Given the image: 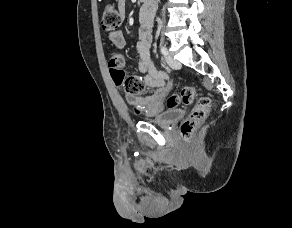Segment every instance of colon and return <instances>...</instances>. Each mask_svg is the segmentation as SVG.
<instances>
[{"label": "colon", "instance_id": "5ec220e1", "mask_svg": "<svg viewBox=\"0 0 292 228\" xmlns=\"http://www.w3.org/2000/svg\"><path fill=\"white\" fill-rule=\"evenodd\" d=\"M121 15L117 8L112 5L105 7L102 14V27L105 31L113 32L121 25ZM109 68L114 83L127 95L134 96L140 93L143 82L138 76H126L122 66L123 57L113 53L109 58ZM197 99V93L193 87H184L178 93L172 94L167 99L168 108L192 104ZM210 98L199 97L196 105L187 119L181 124L180 133L185 141H189L196 128L203 122L210 107Z\"/></svg>", "mask_w": 292, "mask_h": 228}]
</instances>
